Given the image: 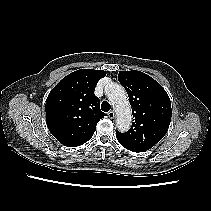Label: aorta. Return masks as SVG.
<instances>
[{
  "mask_svg": "<svg viewBox=\"0 0 211 211\" xmlns=\"http://www.w3.org/2000/svg\"><path fill=\"white\" fill-rule=\"evenodd\" d=\"M107 96L116 112V126L121 132L127 131L131 126L132 112L125 89L117 84L108 86Z\"/></svg>",
  "mask_w": 211,
  "mask_h": 211,
  "instance_id": "762f6f07",
  "label": "aorta"
}]
</instances>
